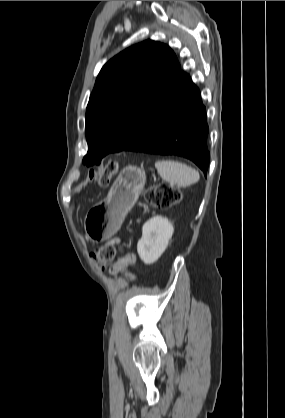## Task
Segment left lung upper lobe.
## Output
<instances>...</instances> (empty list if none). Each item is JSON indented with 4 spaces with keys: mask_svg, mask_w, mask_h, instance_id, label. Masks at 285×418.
I'll use <instances>...</instances> for the list:
<instances>
[{
    "mask_svg": "<svg viewBox=\"0 0 285 418\" xmlns=\"http://www.w3.org/2000/svg\"><path fill=\"white\" fill-rule=\"evenodd\" d=\"M180 71L174 52L146 40L109 60L101 69L86 109L87 166L122 151L167 92Z\"/></svg>",
    "mask_w": 285,
    "mask_h": 418,
    "instance_id": "5c2ea615",
    "label": "left lung upper lobe"
}]
</instances>
